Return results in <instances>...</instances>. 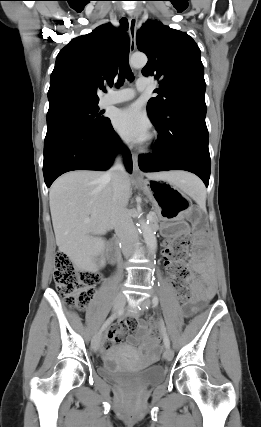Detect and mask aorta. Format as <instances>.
<instances>
[{
  "label": "aorta",
  "instance_id": "aorta-1",
  "mask_svg": "<svg viewBox=\"0 0 261 427\" xmlns=\"http://www.w3.org/2000/svg\"><path fill=\"white\" fill-rule=\"evenodd\" d=\"M147 61L148 59L145 54L138 53V54L132 55V57L130 58V65L133 68L139 69V68H143L146 65ZM139 224H140V229L142 231L145 243L148 247L149 253L151 255H154L157 250V239L155 236V232L153 231L150 224H147L145 220L141 219L139 221Z\"/></svg>",
  "mask_w": 261,
  "mask_h": 427
}]
</instances>
